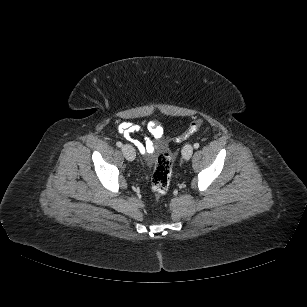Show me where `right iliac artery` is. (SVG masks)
<instances>
[{"mask_svg":"<svg viewBox=\"0 0 307 307\" xmlns=\"http://www.w3.org/2000/svg\"><path fill=\"white\" fill-rule=\"evenodd\" d=\"M116 145H117V147H122V143L120 142V141H118L117 143H116Z\"/></svg>","mask_w":307,"mask_h":307,"instance_id":"right-iliac-artery-1","label":"right iliac artery"}]
</instances>
